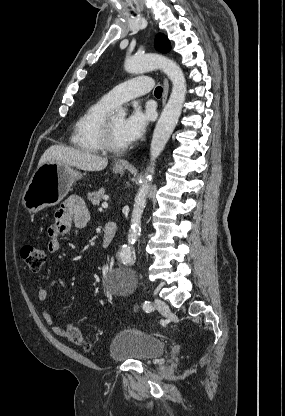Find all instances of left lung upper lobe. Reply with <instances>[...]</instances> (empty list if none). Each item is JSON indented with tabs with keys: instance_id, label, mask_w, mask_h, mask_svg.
Returning <instances> with one entry per match:
<instances>
[{
	"instance_id": "obj_1",
	"label": "left lung upper lobe",
	"mask_w": 285,
	"mask_h": 416,
	"mask_svg": "<svg viewBox=\"0 0 285 416\" xmlns=\"http://www.w3.org/2000/svg\"><path fill=\"white\" fill-rule=\"evenodd\" d=\"M155 48L162 52V53H167L170 51V42L167 39V37L163 34H158L155 38Z\"/></svg>"
}]
</instances>
